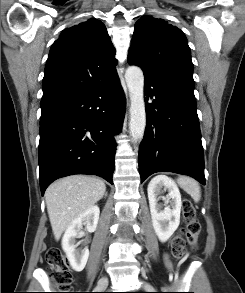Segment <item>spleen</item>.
Returning a JSON list of instances; mask_svg holds the SVG:
<instances>
[{
    "mask_svg": "<svg viewBox=\"0 0 245 293\" xmlns=\"http://www.w3.org/2000/svg\"><path fill=\"white\" fill-rule=\"evenodd\" d=\"M177 183L193 198L195 202H199L201 198V190L196 180L190 177L182 176L177 179Z\"/></svg>",
    "mask_w": 245,
    "mask_h": 293,
    "instance_id": "obj_1",
    "label": "spleen"
}]
</instances>
